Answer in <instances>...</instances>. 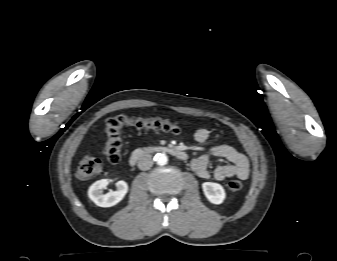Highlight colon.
<instances>
[{
	"instance_id": "1",
	"label": "colon",
	"mask_w": 337,
	"mask_h": 261,
	"mask_svg": "<svg viewBox=\"0 0 337 261\" xmlns=\"http://www.w3.org/2000/svg\"><path fill=\"white\" fill-rule=\"evenodd\" d=\"M125 126H134L137 128H149L158 131L180 133L182 127L175 122L159 118L131 117L126 115H117L106 122L105 133L106 143L104 155L111 163L119 162L122 152V140L120 131ZM102 172V163L98 158L85 156L80 159L77 165L76 175L80 180H88ZM227 187L231 191H239L242 183L233 179L228 181Z\"/></svg>"
}]
</instances>
